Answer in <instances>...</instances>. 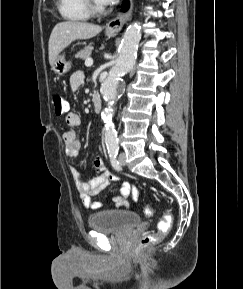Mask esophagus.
Masks as SVG:
<instances>
[{"label":"esophagus","instance_id":"esophagus-1","mask_svg":"<svg viewBox=\"0 0 243 289\" xmlns=\"http://www.w3.org/2000/svg\"><path fill=\"white\" fill-rule=\"evenodd\" d=\"M132 8L130 7L127 12H121L119 11L117 15L109 20V22L106 24L105 30L107 33L111 34H118L124 24L130 19L131 17Z\"/></svg>","mask_w":243,"mask_h":289}]
</instances>
